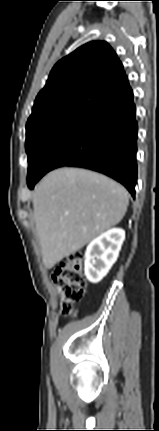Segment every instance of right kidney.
<instances>
[{
	"instance_id": "ca27d5eb",
	"label": "right kidney",
	"mask_w": 159,
	"mask_h": 431,
	"mask_svg": "<svg viewBox=\"0 0 159 431\" xmlns=\"http://www.w3.org/2000/svg\"><path fill=\"white\" fill-rule=\"evenodd\" d=\"M125 232L113 228L90 242L85 252V276L91 283L100 282L116 262Z\"/></svg>"
}]
</instances>
